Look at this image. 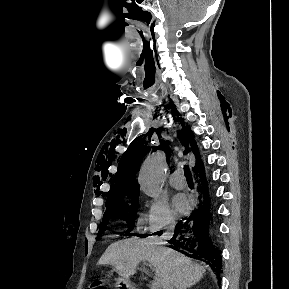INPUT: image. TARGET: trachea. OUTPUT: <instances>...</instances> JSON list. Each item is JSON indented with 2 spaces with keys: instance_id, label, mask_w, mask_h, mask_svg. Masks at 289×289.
Returning <instances> with one entry per match:
<instances>
[{
  "instance_id": "3493384b",
  "label": "trachea",
  "mask_w": 289,
  "mask_h": 289,
  "mask_svg": "<svg viewBox=\"0 0 289 289\" xmlns=\"http://www.w3.org/2000/svg\"><path fill=\"white\" fill-rule=\"evenodd\" d=\"M184 174L187 181H193L190 168L187 165H184Z\"/></svg>"
}]
</instances>
